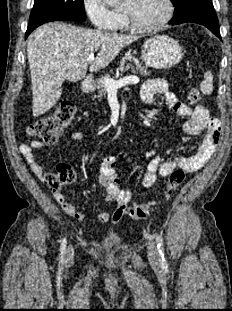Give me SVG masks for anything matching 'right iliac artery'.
Masks as SVG:
<instances>
[{"instance_id": "1", "label": "right iliac artery", "mask_w": 232, "mask_h": 311, "mask_svg": "<svg viewBox=\"0 0 232 311\" xmlns=\"http://www.w3.org/2000/svg\"><path fill=\"white\" fill-rule=\"evenodd\" d=\"M65 250H66V239L64 238L61 243V248H60V261H64V255H65Z\"/></svg>"}]
</instances>
